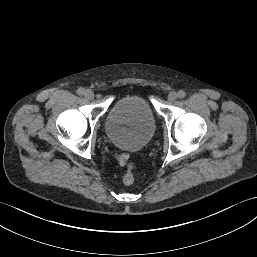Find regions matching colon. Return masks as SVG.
<instances>
[{"mask_svg":"<svg viewBox=\"0 0 257 257\" xmlns=\"http://www.w3.org/2000/svg\"><path fill=\"white\" fill-rule=\"evenodd\" d=\"M119 161L121 162V164H123L126 169L127 172L123 178V182L125 185H133L135 182V176L134 173L137 169V163L136 161L131 158L129 155L127 154H122L119 156Z\"/></svg>","mask_w":257,"mask_h":257,"instance_id":"colon-1","label":"colon"}]
</instances>
